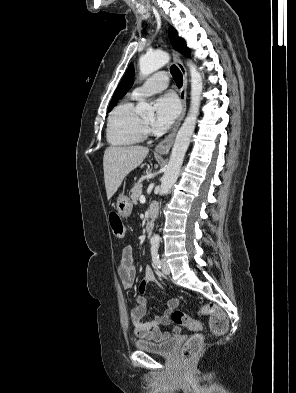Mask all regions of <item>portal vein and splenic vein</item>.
Instances as JSON below:
<instances>
[{"label": "portal vein and splenic vein", "mask_w": 296, "mask_h": 393, "mask_svg": "<svg viewBox=\"0 0 296 393\" xmlns=\"http://www.w3.org/2000/svg\"><path fill=\"white\" fill-rule=\"evenodd\" d=\"M140 202H145V197L143 195L140 196Z\"/></svg>", "instance_id": "1"}]
</instances>
